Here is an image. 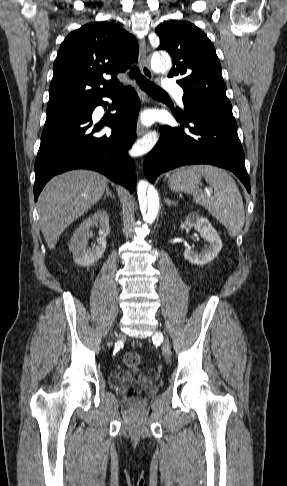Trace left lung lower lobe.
<instances>
[{
  "label": "left lung lower lobe",
  "mask_w": 287,
  "mask_h": 486,
  "mask_svg": "<svg viewBox=\"0 0 287 486\" xmlns=\"http://www.w3.org/2000/svg\"><path fill=\"white\" fill-rule=\"evenodd\" d=\"M174 114L180 127H163L159 142L145 158L148 180L154 182L162 172L179 166L212 164L232 171L250 192L237 126L195 112L184 117Z\"/></svg>",
  "instance_id": "0a47b994"
}]
</instances>
